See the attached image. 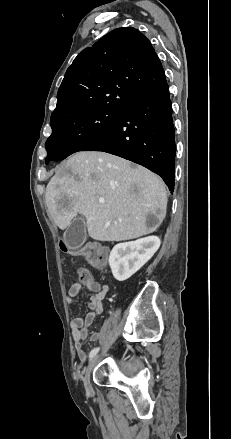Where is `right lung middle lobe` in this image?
I'll use <instances>...</instances> for the list:
<instances>
[{"label":"right lung middle lobe","instance_id":"right-lung-middle-lobe-1","mask_svg":"<svg viewBox=\"0 0 231 439\" xmlns=\"http://www.w3.org/2000/svg\"><path fill=\"white\" fill-rule=\"evenodd\" d=\"M121 114L122 111L91 108L51 119L52 134L45 144L46 164L83 151L111 129Z\"/></svg>","mask_w":231,"mask_h":439}]
</instances>
